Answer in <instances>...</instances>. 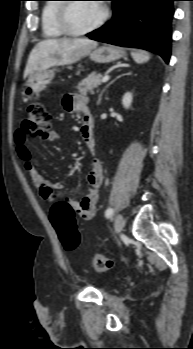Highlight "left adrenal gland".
Here are the masks:
<instances>
[{"label": "left adrenal gland", "instance_id": "1", "mask_svg": "<svg viewBox=\"0 0 193 349\" xmlns=\"http://www.w3.org/2000/svg\"><path fill=\"white\" fill-rule=\"evenodd\" d=\"M131 72L127 73V74H122V75H119L118 77H116L113 81H111L109 84H107L104 89L101 91V93L99 94V97H98V104L101 103V100H102V96L104 94V92L106 91V89L112 84L114 83L117 79H119L120 77L124 76V75H130Z\"/></svg>", "mask_w": 193, "mask_h": 349}]
</instances>
